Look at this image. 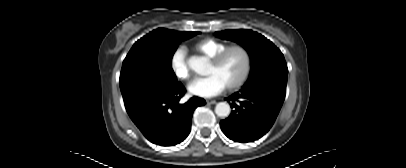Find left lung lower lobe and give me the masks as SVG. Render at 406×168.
Here are the masks:
<instances>
[{
	"label": "left lung lower lobe",
	"instance_id": "0a47b994",
	"mask_svg": "<svg viewBox=\"0 0 406 168\" xmlns=\"http://www.w3.org/2000/svg\"><path fill=\"white\" fill-rule=\"evenodd\" d=\"M286 86L252 85L226 98L234 108L220 122L223 133L235 142H253L266 134L275 122L285 99Z\"/></svg>",
	"mask_w": 406,
	"mask_h": 168
}]
</instances>
